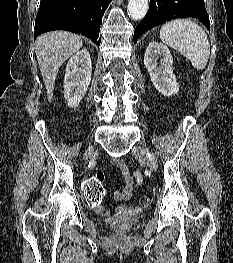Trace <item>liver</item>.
I'll use <instances>...</instances> for the list:
<instances>
[{
	"mask_svg": "<svg viewBox=\"0 0 233 263\" xmlns=\"http://www.w3.org/2000/svg\"><path fill=\"white\" fill-rule=\"evenodd\" d=\"M82 45L81 36L66 31H51L37 38L35 53L49 102L52 101L59 68L65 60L79 51Z\"/></svg>",
	"mask_w": 233,
	"mask_h": 263,
	"instance_id": "liver-1",
	"label": "liver"
}]
</instances>
